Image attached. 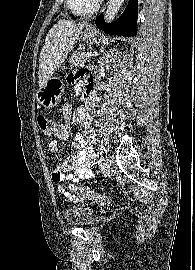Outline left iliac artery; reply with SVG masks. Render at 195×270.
<instances>
[{"label":"left iliac artery","mask_w":195,"mask_h":270,"mask_svg":"<svg viewBox=\"0 0 195 270\" xmlns=\"http://www.w3.org/2000/svg\"><path fill=\"white\" fill-rule=\"evenodd\" d=\"M103 160H104V159H103V157H100V158H99V160H98V164H99V166H102V162H103Z\"/></svg>","instance_id":"obj_1"}]
</instances>
